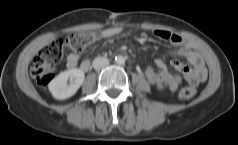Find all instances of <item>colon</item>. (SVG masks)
<instances>
[{
    "label": "colon",
    "mask_w": 238,
    "mask_h": 145,
    "mask_svg": "<svg viewBox=\"0 0 238 145\" xmlns=\"http://www.w3.org/2000/svg\"><path fill=\"white\" fill-rule=\"evenodd\" d=\"M97 39L93 31L72 33L64 39H56L44 46L33 58L30 74L39 86H46L54 77V70L62 60L65 48L81 52ZM196 93L193 87H184L179 92V98L187 100Z\"/></svg>",
    "instance_id": "1"
}]
</instances>
